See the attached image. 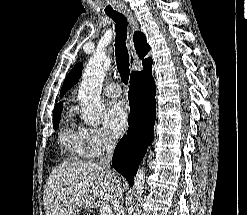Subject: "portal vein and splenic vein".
Here are the masks:
<instances>
[{"mask_svg": "<svg viewBox=\"0 0 247 215\" xmlns=\"http://www.w3.org/2000/svg\"><path fill=\"white\" fill-rule=\"evenodd\" d=\"M100 215H112V209L107 205L100 206Z\"/></svg>", "mask_w": 247, "mask_h": 215, "instance_id": "18ae733b", "label": "portal vein and splenic vein"}]
</instances>
